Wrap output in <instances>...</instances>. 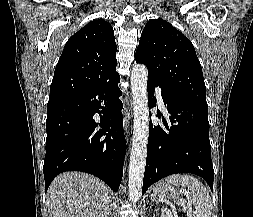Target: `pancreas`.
<instances>
[{
	"instance_id": "cf45deb5",
	"label": "pancreas",
	"mask_w": 253,
	"mask_h": 217,
	"mask_svg": "<svg viewBox=\"0 0 253 217\" xmlns=\"http://www.w3.org/2000/svg\"><path fill=\"white\" fill-rule=\"evenodd\" d=\"M163 217H173V216L171 215V213H170V214H167L166 212H164V213H163Z\"/></svg>"
}]
</instances>
